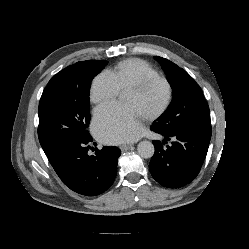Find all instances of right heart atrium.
Listing matches in <instances>:
<instances>
[{
    "mask_svg": "<svg viewBox=\"0 0 249 249\" xmlns=\"http://www.w3.org/2000/svg\"><path fill=\"white\" fill-rule=\"evenodd\" d=\"M120 93V88L114 78L107 72L97 75L90 86V100L94 104H104L113 101Z\"/></svg>",
    "mask_w": 249,
    "mask_h": 249,
    "instance_id": "1",
    "label": "right heart atrium"
}]
</instances>
